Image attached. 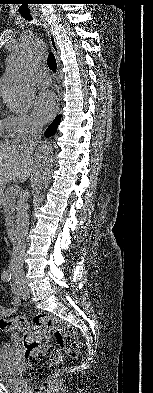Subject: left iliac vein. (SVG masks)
Instances as JSON below:
<instances>
[{
  "label": "left iliac vein",
  "mask_w": 153,
  "mask_h": 393,
  "mask_svg": "<svg viewBox=\"0 0 153 393\" xmlns=\"http://www.w3.org/2000/svg\"><path fill=\"white\" fill-rule=\"evenodd\" d=\"M12 288L13 292L18 296L26 297L29 294L27 285L24 282L21 284H14Z\"/></svg>",
  "instance_id": "left-iliac-vein-1"
}]
</instances>
